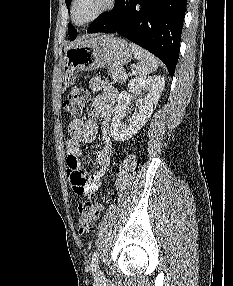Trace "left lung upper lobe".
Wrapping results in <instances>:
<instances>
[{"mask_svg": "<svg viewBox=\"0 0 233 286\" xmlns=\"http://www.w3.org/2000/svg\"><path fill=\"white\" fill-rule=\"evenodd\" d=\"M65 2H66V6L69 7L71 4V0H65ZM68 33H69V37L71 40H74L77 37V31L72 26L71 23L68 24Z\"/></svg>", "mask_w": 233, "mask_h": 286, "instance_id": "obj_1", "label": "left lung upper lobe"}]
</instances>
